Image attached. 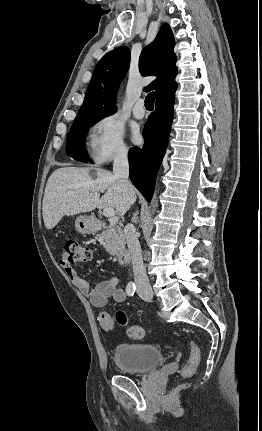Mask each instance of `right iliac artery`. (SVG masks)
<instances>
[{
  "label": "right iliac artery",
  "mask_w": 262,
  "mask_h": 431,
  "mask_svg": "<svg viewBox=\"0 0 262 431\" xmlns=\"http://www.w3.org/2000/svg\"><path fill=\"white\" fill-rule=\"evenodd\" d=\"M136 290V286L133 282H129L126 286V292L129 296H133Z\"/></svg>",
  "instance_id": "obj_1"
}]
</instances>
